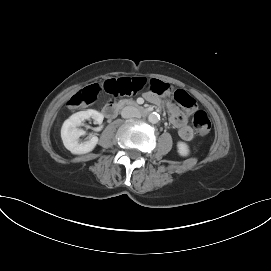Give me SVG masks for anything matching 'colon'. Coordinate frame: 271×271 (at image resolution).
Wrapping results in <instances>:
<instances>
[{
  "instance_id": "obj_1",
  "label": "colon",
  "mask_w": 271,
  "mask_h": 271,
  "mask_svg": "<svg viewBox=\"0 0 271 271\" xmlns=\"http://www.w3.org/2000/svg\"><path fill=\"white\" fill-rule=\"evenodd\" d=\"M148 86L149 81H146L144 78L111 79L106 81L102 87L97 84H92L85 87L78 93L74 94L69 99L67 105L71 109L88 106L96 100L98 94L102 90L111 95H131L144 88H148ZM174 101L189 109L195 106L194 99L183 90H177L174 93ZM192 121L195 129L200 135H206L210 132L211 122L208 115L204 111H196L193 115Z\"/></svg>"
}]
</instances>
